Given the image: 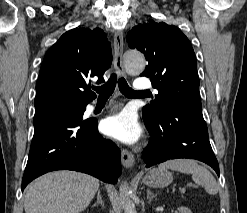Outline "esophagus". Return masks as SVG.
<instances>
[{
    "mask_svg": "<svg viewBox=\"0 0 247 213\" xmlns=\"http://www.w3.org/2000/svg\"><path fill=\"white\" fill-rule=\"evenodd\" d=\"M123 34L121 32H116L114 34V68L119 76H124L125 71L122 62L123 56ZM121 160L125 168H131L134 163V155L127 149H122Z\"/></svg>",
    "mask_w": 247,
    "mask_h": 213,
    "instance_id": "34e87169",
    "label": "esophagus"
}]
</instances>
